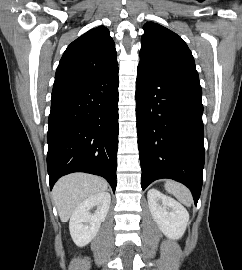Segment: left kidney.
<instances>
[{
	"instance_id": "obj_1",
	"label": "left kidney",
	"mask_w": 242,
	"mask_h": 270,
	"mask_svg": "<svg viewBox=\"0 0 242 270\" xmlns=\"http://www.w3.org/2000/svg\"><path fill=\"white\" fill-rule=\"evenodd\" d=\"M147 199L151 215L162 233L170 239H180L189 221L187 210L156 189L148 191Z\"/></svg>"
}]
</instances>
